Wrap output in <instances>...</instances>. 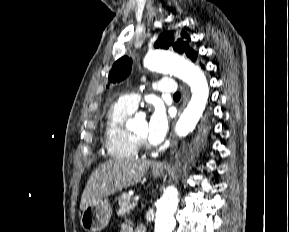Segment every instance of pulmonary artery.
<instances>
[{
  "instance_id": "1",
  "label": "pulmonary artery",
  "mask_w": 289,
  "mask_h": 232,
  "mask_svg": "<svg viewBox=\"0 0 289 232\" xmlns=\"http://www.w3.org/2000/svg\"><path fill=\"white\" fill-rule=\"evenodd\" d=\"M154 90L164 94H174L177 91V85L171 78H162L153 85ZM128 108L135 110L138 106L140 96L136 93L127 94L119 99Z\"/></svg>"
}]
</instances>
